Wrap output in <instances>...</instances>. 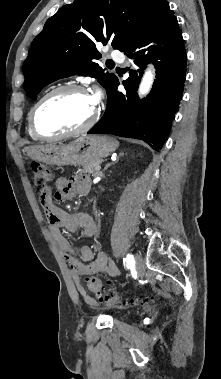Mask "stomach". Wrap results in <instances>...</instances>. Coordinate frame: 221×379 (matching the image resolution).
Here are the masks:
<instances>
[{
  "label": "stomach",
  "instance_id": "0dacf381",
  "mask_svg": "<svg viewBox=\"0 0 221 379\" xmlns=\"http://www.w3.org/2000/svg\"><path fill=\"white\" fill-rule=\"evenodd\" d=\"M119 143L110 136L84 135L68 144H47L27 149L28 156L35 161L50 165H83L102 160L114 152Z\"/></svg>",
  "mask_w": 221,
  "mask_h": 379
}]
</instances>
